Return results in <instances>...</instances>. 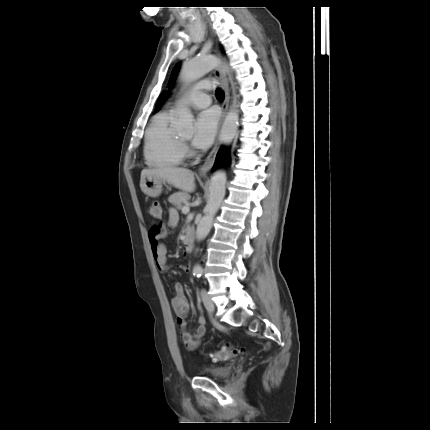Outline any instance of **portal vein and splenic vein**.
<instances>
[{
  "instance_id": "18ae733b",
  "label": "portal vein and splenic vein",
  "mask_w": 430,
  "mask_h": 430,
  "mask_svg": "<svg viewBox=\"0 0 430 430\" xmlns=\"http://www.w3.org/2000/svg\"><path fill=\"white\" fill-rule=\"evenodd\" d=\"M189 211H190V208H189V206H188V205H186V206H184V207L182 208V212H183L184 214H187Z\"/></svg>"
}]
</instances>
